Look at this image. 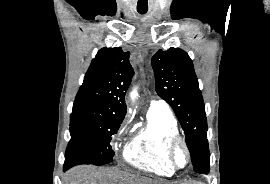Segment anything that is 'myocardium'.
Here are the masks:
<instances>
[{
  "instance_id": "obj_1",
  "label": "myocardium",
  "mask_w": 270,
  "mask_h": 184,
  "mask_svg": "<svg viewBox=\"0 0 270 184\" xmlns=\"http://www.w3.org/2000/svg\"><path fill=\"white\" fill-rule=\"evenodd\" d=\"M180 146L184 149L186 156H187V161H186V164L184 166H179L175 161V152H176L177 148ZM166 154H167V160L174 170H182V169L187 168L190 165V162H191L190 148H189L186 140L182 136H180L179 134L174 135L169 140L168 145H167Z\"/></svg>"
}]
</instances>
